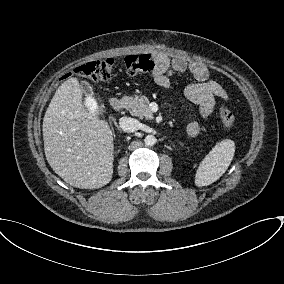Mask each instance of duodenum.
I'll use <instances>...</instances> for the list:
<instances>
[{
	"label": "duodenum",
	"mask_w": 284,
	"mask_h": 284,
	"mask_svg": "<svg viewBox=\"0 0 284 284\" xmlns=\"http://www.w3.org/2000/svg\"><path fill=\"white\" fill-rule=\"evenodd\" d=\"M123 106V102L120 98L118 97H113L110 99V107L115 110V111H119L122 109Z\"/></svg>",
	"instance_id": "1"
}]
</instances>
